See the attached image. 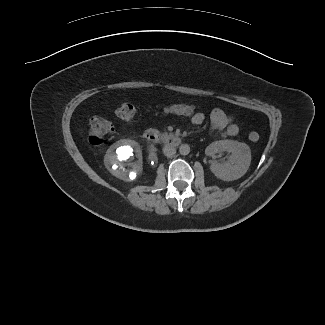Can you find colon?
<instances>
[{
	"instance_id": "obj_1",
	"label": "colon",
	"mask_w": 325,
	"mask_h": 325,
	"mask_svg": "<svg viewBox=\"0 0 325 325\" xmlns=\"http://www.w3.org/2000/svg\"><path fill=\"white\" fill-rule=\"evenodd\" d=\"M161 110L168 115L192 118L198 113L196 107L186 103H171L161 107ZM117 117L124 123L129 124L135 116V108L130 103L121 104L116 110ZM114 131L111 121L103 117H92L88 121V139L93 145H100L104 138ZM249 140L257 142L260 135L256 131L249 133Z\"/></svg>"
}]
</instances>
